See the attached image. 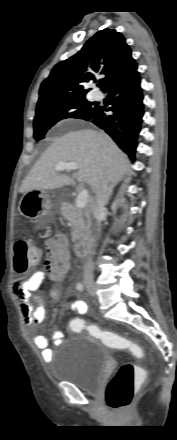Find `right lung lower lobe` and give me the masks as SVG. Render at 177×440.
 I'll return each mask as SVG.
<instances>
[{"label":"right lung lower lobe","instance_id":"right-lung-lower-lobe-1","mask_svg":"<svg viewBox=\"0 0 177 440\" xmlns=\"http://www.w3.org/2000/svg\"><path fill=\"white\" fill-rule=\"evenodd\" d=\"M140 82L135 66L103 91L108 92L112 107L96 106L83 118L104 129L132 161H135L137 139L144 114ZM108 111L113 114H107Z\"/></svg>","mask_w":177,"mask_h":440}]
</instances>
